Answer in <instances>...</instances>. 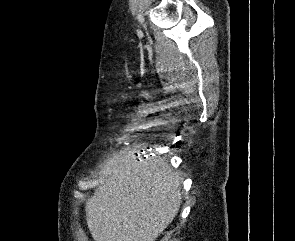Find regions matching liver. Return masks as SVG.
I'll return each instance as SVG.
<instances>
[{"instance_id":"obj_1","label":"liver","mask_w":295,"mask_h":241,"mask_svg":"<svg viewBox=\"0 0 295 241\" xmlns=\"http://www.w3.org/2000/svg\"><path fill=\"white\" fill-rule=\"evenodd\" d=\"M136 148L114 154L85 206L94 241H155L182 203L181 178L165 159L137 161Z\"/></svg>"}]
</instances>
